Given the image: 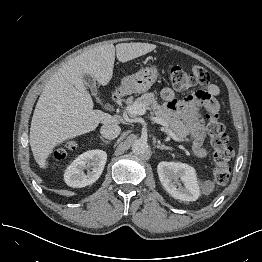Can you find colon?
<instances>
[{
	"label": "colon",
	"mask_w": 262,
	"mask_h": 262,
	"mask_svg": "<svg viewBox=\"0 0 262 262\" xmlns=\"http://www.w3.org/2000/svg\"><path fill=\"white\" fill-rule=\"evenodd\" d=\"M208 76L206 70L200 68L197 73L188 71L180 66H172L169 69V78L173 88L177 91H186L195 86L198 81L206 79ZM207 133L210 137L214 150L216 166L214 168V178L218 184H224L228 181L231 173L230 161L234 156L233 149L228 145V137L223 124L219 121V113L216 110H210L206 115ZM73 149L72 144H67L56 150L55 157L64 159L68 152Z\"/></svg>",
	"instance_id": "1"
}]
</instances>
